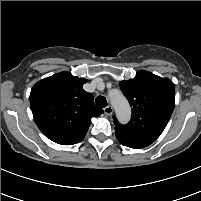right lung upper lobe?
Here are the masks:
<instances>
[{
  "instance_id": "cb5924a9",
  "label": "right lung upper lobe",
  "mask_w": 201,
  "mask_h": 201,
  "mask_svg": "<svg viewBox=\"0 0 201 201\" xmlns=\"http://www.w3.org/2000/svg\"><path fill=\"white\" fill-rule=\"evenodd\" d=\"M87 80L61 72L37 82L30 93L34 120L53 142L73 145L86 135L92 117L104 113L91 93L83 89Z\"/></svg>"
}]
</instances>
